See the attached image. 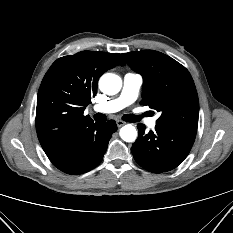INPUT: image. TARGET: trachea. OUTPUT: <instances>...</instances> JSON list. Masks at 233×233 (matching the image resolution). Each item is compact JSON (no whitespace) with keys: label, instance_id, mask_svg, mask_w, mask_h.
I'll return each mask as SVG.
<instances>
[{"label":"trachea","instance_id":"3493384b","mask_svg":"<svg viewBox=\"0 0 233 233\" xmlns=\"http://www.w3.org/2000/svg\"><path fill=\"white\" fill-rule=\"evenodd\" d=\"M122 119L126 122H137L139 119L133 114H126L122 117ZM94 120L97 122H104L106 121V116L101 113H97L94 115Z\"/></svg>","mask_w":233,"mask_h":233}]
</instances>
